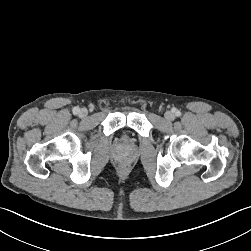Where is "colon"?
<instances>
[{
	"label": "colon",
	"mask_w": 251,
	"mask_h": 251,
	"mask_svg": "<svg viewBox=\"0 0 251 251\" xmlns=\"http://www.w3.org/2000/svg\"><path fill=\"white\" fill-rule=\"evenodd\" d=\"M126 168V166L125 165H122V169H125Z\"/></svg>",
	"instance_id": "colon-1"
}]
</instances>
